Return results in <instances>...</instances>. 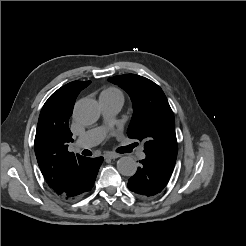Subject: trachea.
<instances>
[{
    "label": "trachea",
    "mask_w": 246,
    "mask_h": 246,
    "mask_svg": "<svg viewBox=\"0 0 246 246\" xmlns=\"http://www.w3.org/2000/svg\"><path fill=\"white\" fill-rule=\"evenodd\" d=\"M82 154H83V155H87V156L91 155V153H90L88 150H84V151L82 152Z\"/></svg>",
    "instance_id": "trachea-1"
}]
</instances>
